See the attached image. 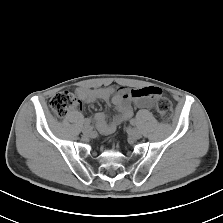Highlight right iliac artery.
<instances>
[{"label": "right iliac artery", "instance_id": "82829eb1", "mask_svg": "<svg viewBox=\"0 0 223 223\" xmlns=\"http://www.w3.org/2000/svg\"><path fill=\"white\" fill-rule=\"evenodd\" d=\"M90 122H91V121H90L89 119H86V120L84 121V125L87 126V125L90 124Z\"/></svg>", "mask_w": 223, "mask_h": 223}]
</instances>
